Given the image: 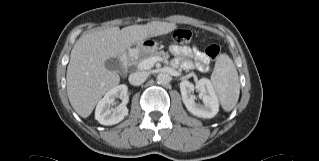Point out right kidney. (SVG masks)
I'll list each match as a JSON object with an SVG mask.
<instances>
[{"instance_id": "ca27d5eb", "label": "right kidney", "mask_w": 319, "mask_h": 161, "mask_svg": "<svg viewBox=\"0 0 319 161\" xmlns=\"http://www.w3.org/2000/svg\"><path fill=\"white\" fill-rule=\"evenodd\" d=\"M128 88L126 85H117L110 89L105 96L98 102L95 110V119L102 125H114L121 122L128 115ZM116 98H120V103L116 108L111 106Z\"/></svg>"}]
</instances>
